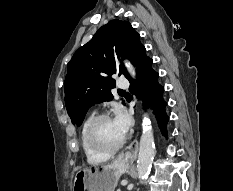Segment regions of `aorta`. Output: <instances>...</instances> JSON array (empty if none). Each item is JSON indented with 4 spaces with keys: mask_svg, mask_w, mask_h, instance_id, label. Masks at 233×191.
I'll use <instances>...</instances> for the list:
<instances>
[{
    "mask_svg": "<svg viewBox=\"0 0 233 191\" xmlns=\"http://www.w3.org/2000/svg\"><path fill=\"white\" fill-rule=\"evenodd\" d=\"M125 66L132 77H135V68L130 62ZM155 156V145L153 129L150 119L146 116L142 124V135L140 138L139 155L137 160V172L140 182L143 183L148 178Z\"/></svg>",
    "mask_w": 233,
    "mask_h": 191,
    "instance_id": "1",
    "label": "aorta"
}]
</instances>
